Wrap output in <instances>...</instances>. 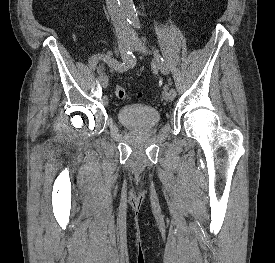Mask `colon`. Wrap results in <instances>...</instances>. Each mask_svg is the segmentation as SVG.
I'll return each instance as SVG.
<instances>
[{
    "instance_id": "5ec220e1",
    "label": "colon",
    "mask_w": 275,
    "mask_h": 263,
    "mask_svg": "<svg viewBox=\"0 0 275 263\" xmlns=\"http://www.w3.org/2000/svg\"><path fill=\"white\" fill-rule=\"evenodd\" d=\"M115 95L120 100H126L129 97L128 91L124 87H121V86H117L115 88Z\"/></svg>"
}]
</instances>
